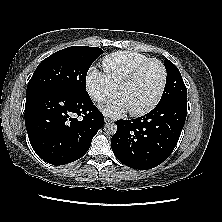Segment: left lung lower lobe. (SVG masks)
Returning a JSON list of instances; mask_svg holds the SVG:
<instances>
[{
	"label": "left lung lower lobe",
	"mask_w": 222,
	"mask_h": 222,
	"mask_svg": "<svg viewBox=\"0 0 222 222\" xmlns=\"http://www.w3.org/2000/svg\"><path fill=\"white\" fill-rule=\"evenodd\" d=\"M187 115V98L161 101L146 115L118 120L111 139L116 158L133 169L147 170L165 161L175 148Z\"/></svg>",
	"instance_id": "0a47b994"
}]
</instances>
